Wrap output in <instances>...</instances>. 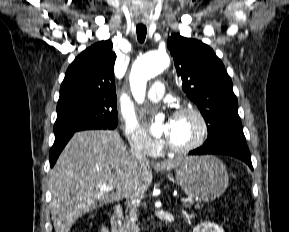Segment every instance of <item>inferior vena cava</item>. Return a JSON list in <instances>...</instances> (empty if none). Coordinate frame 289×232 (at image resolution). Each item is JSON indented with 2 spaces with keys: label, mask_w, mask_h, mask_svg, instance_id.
I'll return each instance as SVG.
<instances>
[{
  "label": "inferior vena cava",
  "mask_w": 289,
  "mask_h": 232,
  "mask_svg": "<svg viewBox=\"0 0 289 232\" xmlns=\"http://www.w3.org/2000/svg\"><path fill=\"white\" fill-rule=\"evenodd\" d=\"M131 152L135 159L142 162H148L147 157L142 153L140 149H137L135 146L132 147Z\"/></svg>",
  "instance_id": "inferior-vena-cava-1"
}]
</instances>
